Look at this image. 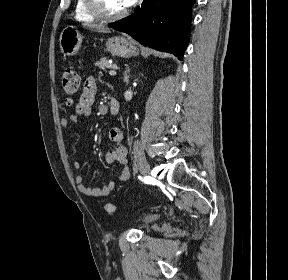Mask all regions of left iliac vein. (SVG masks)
<instances>
[{
    "mask_svg": "<svg viewBox=\"0 0 288 280\" xmlns=\"http://www.w3.org/2000/svg\"><path fill=\"white\" fill-rule=\"evenodd\" d=\"M140 170L143 174H149L150 168L146 160H141L139 162Z\"/></svg>",
    "mask_w": 288,
    "mask_h": 280,
    "instance_id": "left-iliac-vein-1",
    "label": "left iliac vein"
}]
</instances>
